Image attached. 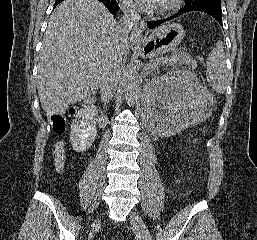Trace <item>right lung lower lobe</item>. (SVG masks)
I'll use <instances>...</instances> for the list:
<instances>
[{"label":"right lung lower lobe","mask_w":257,"mask_h":240,"mask_svg":"<svg viewBox=\"0 0 257 240\" xmlns=\"http://www.w3.org/2000/svg\"><path fill=\"white\" fill-rule=\"evenodd\" d=\"M99 1H101L108 8V10L113 14H116V11L119 9V6L116 0H99Z\"/></svg>","instance_id":"right-lung-lower-lobe-1"}]
</instances>
